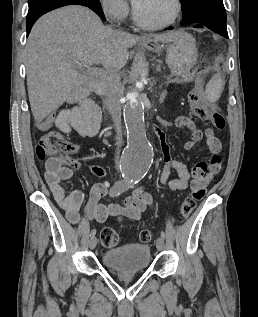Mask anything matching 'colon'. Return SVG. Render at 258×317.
<instances>
[{"label":"colon","instance_id":"5ec220e1","mask_svg":"<svg viewBox=\"0 0 258 317\" xmlns=\"http://www.w3.org/2000/svg\"><path fill=\"white\" fill-rule=\"evenodd\" d=\"M188 102L192 114L202 120L210 121L218 129H224L226 120L223 113L219 110H211L205 104V94L202 86L194 88L188 96ZM79 147L67 141L61 134L55 131H50L43 134L37 143L36 154L40 159L50 157H59L70 166H79V160L76 154ZM205 194V188H195L190 196L185 198L179 206V216L182 219H187L196 207L198 200L202 199ZM152 234L148 230H142L139 234L141 242H149ZM100 241L106 248L115 247L119 242L117 232L112 228H104L100 233Z\"/></svg>","mask_w":258,"mask_h":317}]
</instances>
